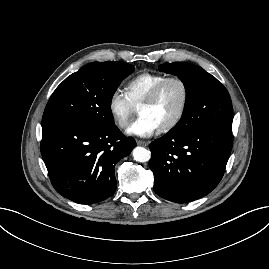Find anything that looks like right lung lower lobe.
I'll use <instances>...</instances> for the list:
<instances>
[{
  "label": "right lung lower lobe",
  "instance_id": "98d812e1",
  "mask_svg": "<svg viewBox=\"0 0 269 269\" xmlns=\"http://www.w3.org/2000/svg\"><path fill=\"white\" fill-rule=\"evenodd\" d=\"M136 146L116 125L95 128L72 121L42 125L41 153L51 183L79 204L106 200L116 191L114 167Z\"/></svg>",
  "mask_w": 269,
  "mask_h": 269
}]
</instances>
